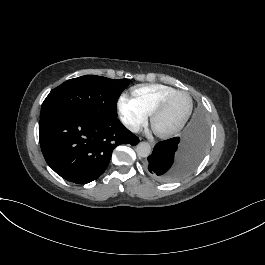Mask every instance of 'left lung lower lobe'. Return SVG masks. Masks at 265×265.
<instances>
[{
  "mask_svg": "<svg viewBox=\"0 0 265 265\" xmlns=\"http://www.w3.org/2000/svg\"><path fill=\"white\" fill-rule=\"evenodd\" d=\"M209 129L204 113L197 109L180 137L158 142L147 158V173L157 181L178 180L193 171L202 160Z\"/></svg>",
  "mask_w": 265,
  "mask_h": 265,
  "instance_id": "obj_1",
  "label": "left lung lower lobe"
}]
</instances>
